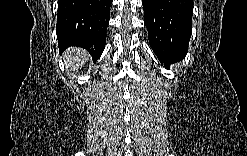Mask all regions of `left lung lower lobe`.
<instances>
[{"label": "left lung lower lobe", "mask_w": 247, "mask_h": 156, "mask_svg": "<svg viewBox=\"0 0 247 156\" xmlns=\"http://www.w3.org/2000/svg\"><path fill=\"white\" fill-rule=\"evenodd\" d=\"M150 46L163 64L182 60L192 33L193 0H142Z\"/></svg>", "instance_id": "0a47b994"}]
</instances>
